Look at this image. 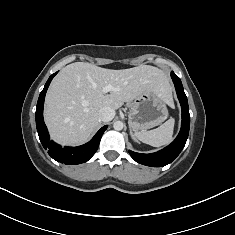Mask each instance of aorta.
Returning <instances> with one entry per match:
<instances>
[{
    "label": "aorta",
    "mask_w": 235,
    "mask_h": 235,
    "mask_svg": "<svg viewBox=\"0 0 235 235\" xmlns=\"http://www.w3.org/2000/svg\"><path fill=\"white\" fill-rule=\"evenodd\" d=\"M124 127V124L122 121H116L114 124H113V128L117 131H120L122 130Z\"/></svg>",
    "instance_id": "aorta-1"
}]
</instances>
